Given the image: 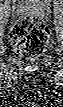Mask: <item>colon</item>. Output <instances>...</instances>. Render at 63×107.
I'll return each mask as SVG.
<instances>
[{
    "instance_id": "1",
    "label": "colon",
    "mask_w": 63,
    "mask_h": 107,
    "mask_svg": "<svg viewBox=\"0 0 63 107\" xmlns=\"http://www.w3.org/2000/svg\"><path fill=\"white\" fill-rule=\"evenodd\" d=\"M10 40L19 54L35 57L44 51L49 40V30L42 21L27 17L13 26Z\"/></svg>"
}]
</instances>
